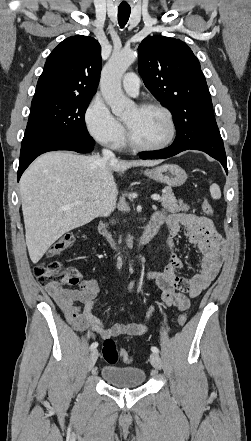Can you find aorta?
<instances>
[{
	"label": "aorta",
	"instance_id": "762f6f07",
	"mask_svg": "<svg viewBox=\"0 0 251 441\" xmlns=\"http://www.w3.org/2000/svg\"><path fill=\"white\" fill-rule=\"evenodd\" d=\"M136 57L133 50L113 53L101 73V93L117 117L125 116L134 107V102L126 98L122 91L121 78Z\"/></svg>",
	"mask_w": 251,
	"mask_h": 441
}]
</instances>
